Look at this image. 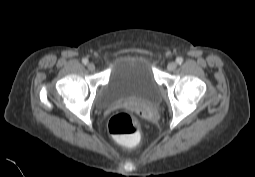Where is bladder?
Wrapping results in <instances>:
<instances>
[{
	"instance_id": "bladder-1",
	"label": "bladder",
	"mask_w": 255,
	"mask_h": 177,
	"mask_svg": "<svg viewBox=\"0 0 255 177\" xmlns=\"http://www.w3.org/2000/svg\"><path fill=\"white\" fill-rule=\"evenodd\" d=\"M161 100V86L157 82L152 58L145 52L121 54L96 97V106L107 109L125 101L144 104H158Z\"/></svg>"
}]
</instances>
